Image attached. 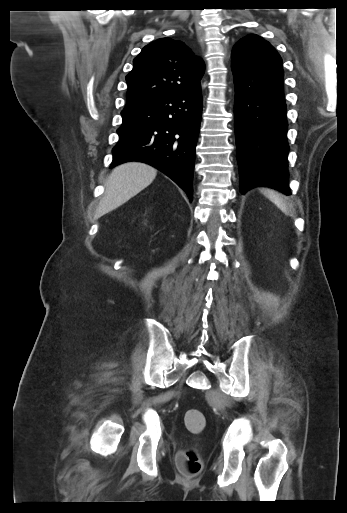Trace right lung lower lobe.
I'll return each instance as SVG.
<instances>
[{
	"label": "right lung lower lobe",
	"instance_id": "obj_1",
	"mask_svg": "<svg viewBox=\"0 0 347 513\" xmlns=\"http://www.w3.org/2000/svg\"><path fill=\"white\" fill-rule=\"evenodd\" d=\"M121 113L111 167L127 161L148 163L175 181L192 201L201 90L124 108Z\"/></svg>",
	"mask_w": 347,
	"mask_h": 513
}]
</instances>
